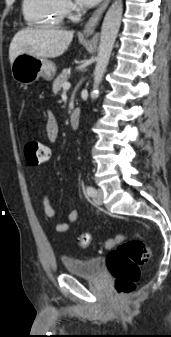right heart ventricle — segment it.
Instances as JSON below:
<instances>
[{
	"instance_id": "obj_1",
	"label": "right heart ventricle",
	"mask_w": 171,
	"mask_h": 337,
	"mask_svg": "<svg viewBox=\"0 0 171 337\" xmlns=\"http://www.w3.org/2000/svg\"><path fill=\"white\" fill-rule=\"evenodd\" d=\"M22 11L31 26H59L65 17L62 0H23Z\"/></svg>"
}]
</instances>
